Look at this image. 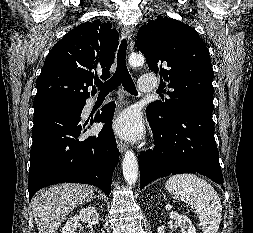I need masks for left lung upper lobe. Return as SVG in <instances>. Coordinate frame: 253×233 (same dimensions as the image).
I'll list each match as a JSON object with an SVG mask.
<instances>
[{
	"mask_svg": "<svg viewBox=\"0 0 253 233\" xmlns=\"http://www.w3.org/2000/svg\"><path fill=\"white\" fill-rule=\"evenodd\" d=\"M135 44L145 55L148 70L159 72L163 85L174 89L167 92L169 99L148 106L156 120L169 125L179 111L193 107L213 110L214 72L209 50L192 27L158 16L141 26Z\"/></svg>",
	"mask_w": 253,
	"mask_h": 233,
	"instance_id": "5c2ea615",
	"label": "left lung upper lobe"
}]
</instances>
